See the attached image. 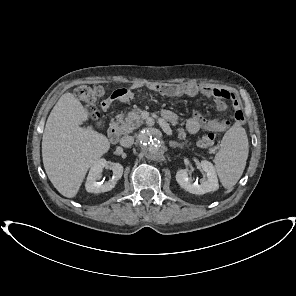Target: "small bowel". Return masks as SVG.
I'll list each match as a JSON object with an SVG mask.
<instances>
[{"instance_id": "small-bowel-1", "label": "small bowel", "mask_w": 296, "mask_h": 296, "mask_svg": "<svg viewBox=\"0 0 296 296\" xmlns=\"http://www.w3.org/2000/svg\"><path fill=\"white\" fill-rule=\"evenodd\" d=\"M143 87L140 83L133 84L129 89H120V92H114L110 97L103 101V109L110 108L115 102H128L134 98L135 91ZM150 90L159 92L165 96H196L203 95L214 100L217 110L225 111L229 107V103L233 108V117L223 119L205 118L201 114L196 113L186 122V130L189 134H197L200 131H216L223 132L230 127L232 121L242 123L244 115L240 103L236 95L227 89L210 87L202 84L187 82L181 84H162L151 82L147 84ZM163 117L171 124L177 123V115L171 110H164Z\"/></svg>"}]
</instances>
